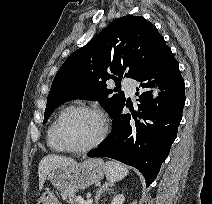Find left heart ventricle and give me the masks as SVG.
<instances>
[{"label": "left heart ventricle", "mask_w": 212, "mask_h": 204, "mask_svg": "<svg viewBox=\"0 0 212 204\" xmlns=\"http://www.w3.org/2000/svg\"><path fill=\"white\" fill-rule=\"evenodd\" d=\"M60 131L66 144L80 148L90 144L97 137L100 122L92 113L74 111L63 118Z\"/></svg>", "instance_id": "left-heart-ventricle-1"}]
</instances>
